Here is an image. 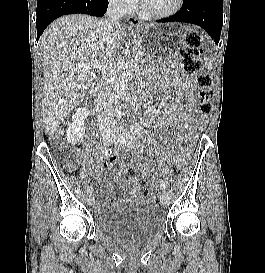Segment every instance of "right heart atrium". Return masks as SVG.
Here are the masks:
<instances>
[{
	"instance_id": "1",
	"label": "right heart atrium",
	"mask_w": 265,
	"mask_h": 273,
	"mask_svg": "<svg viewBox=\"0 0 265 273\" xmlns=\"http://www.w3.org/2000/svg\"><path fill=\"white\" fill-rule=\"evenodd\" d=\"M109 3L116 9L127 12L131 11L135 5L136 0H109Z\"/></svg>"
}]
</instances>
